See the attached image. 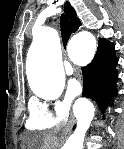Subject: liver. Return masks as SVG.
Wrapping results in <instances>:
<instances>
[{"label": "liver", "mask_w": 124, "mask_h": 149, "mask_svg": "<svg viewBox=\"0 0 124 149\" xmlns=\"http://www.w3.org/2000/svg\"><path fill=\"white\" fill-rule=\"evenodd\" d=\"M29 147L35 149H55L58 145V138L52 134H30L26 137Z\"/></svg>", "instance_id": "obj_1"}]
</instances>
